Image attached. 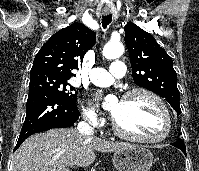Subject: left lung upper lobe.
<instances>
[{"label":"left lung upper lobe","instance_id":"obj_1","mask_svg":"<svg viewBox=\"0 0 199 171\" xmlns=\"http://www.w3.org/2000/svg\"><path fill=\"white\" fill-rule=\"evenodd\" d=\"M124 29L133 80L137 85L165 98L180 115V92L172 58L151 34L134 23L128 22Z\"/></svg>","mask_w":199,"mask_h":171}]
</instances>
